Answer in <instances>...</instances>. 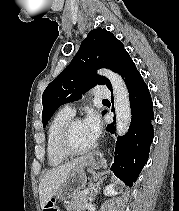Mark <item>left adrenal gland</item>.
Here are the masks:
<instances>
[{
    "instance_id": "1",
    "label": "left adrenal gland",
    "mask_w": 179,
    "mask_h": 211,
    "mask_svg": "<svg viewBox=\"0 0 179 211\" xmlns=\"http://www.w3.org/2000/svg\"><path fill=\"white\" fill-rule=\"evenodd\" d=\"M100 182H97L95 185H92L91 186V191H90V194L91 196L93 197L92 200L96 197L97 193L99 192L100 190Z\"/></svg>"
}]
</instances>
